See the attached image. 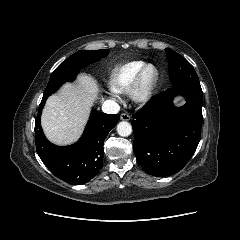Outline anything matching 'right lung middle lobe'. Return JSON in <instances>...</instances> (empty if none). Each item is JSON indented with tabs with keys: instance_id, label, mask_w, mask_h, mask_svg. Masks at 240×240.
Masks as SVG:
<instances>
[{
	"instance_id": "right-lung-middle-lobe-1",
	"label": "right lung middle lobe",
	"mask_w": 240,
	"mask_h": 240,
	"mask_svg": "<svg viewBox=\"0 0 240 240\" xmlns=\"http://www.w3.org/2000/svg\"><path fill=\"white\" fill-rule=\"evenodd\" d=\"M108 55L107 49L86 51L79 50L63 61L51 74L43 96L53 94L63 83L71 82L76 78L81 68L100 60Z\"/></svg>"
}]
</instances>
